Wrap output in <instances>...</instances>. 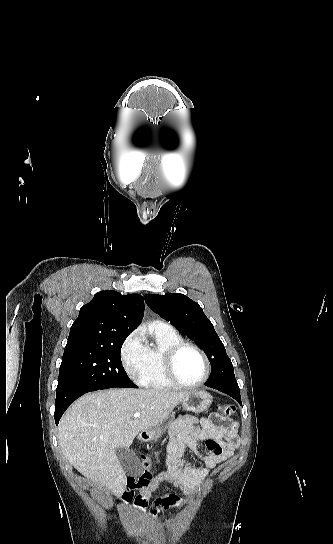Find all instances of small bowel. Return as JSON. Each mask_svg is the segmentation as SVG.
I'll return each instance as SVG.
<instances>
[{
	"mask_svg": "<svg viewBox=\"0 0 333 544\" xmlns=\"http://www.w3.org/2000/svg\"><path fill=\"white\" fill-rule=\"evenodd\" d=\"M168 443V470L155 477L143 488L134 500V507L143 511L152 493L164 482L174 487L191 491L200 486L218 464L230 459L237 446V426L229 419L213 413L209 417L197 420L191 415L182 416L171 426ZM205 442V452L198 448L199 442ZM190 449L203 463L205 468H197L184 459L186 449ZM182 500L176 495L158 498L154 501V516L170 507L180 506Z\"/></svg>",
	"mask_w": 333,
	"mask_h": 544,
	"instance_id": "1",
	"label": "small bowel"
}]
</instances>
